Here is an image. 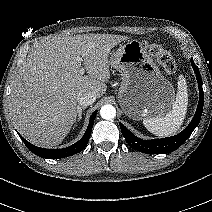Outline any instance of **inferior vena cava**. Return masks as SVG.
Here are the masks:
<instances>
[{
    "mask_svg": "<svg viewBox=\"0 0 212 212\" xmlns=\"http://www.w3.org/2000/svg\"><path fill=\"white\" fill-rule=\"evenodd\" d=\"M96 96L90 92H80L77 96V102L81 106H88L95 102Z\"/></svg>",
    "mask_w": 212,
    "mask_h": 212,
    "instance_id": "obj_1",
    "label": "inferior vena cava"
}]
</instances>
